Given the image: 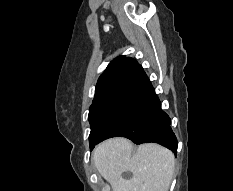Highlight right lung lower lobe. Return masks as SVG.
<instances>
[{
    "mask_svg": "<svg viewBox=\"0 0 233 191\" xmlns=\"http://www.w3.org/2000/svg\"><path fill=\"white\" fill-rule=\"evenodd\" d=\"M126 93V105L90 149L110 137L123 136L136 144L155 142L176 152L177 139L170 118L161 110V102L145 72Z\"/></svg>",
    "mask_w": 233,
    "mask_h": 191,
    "instance_id": "98d812e1",
    "label": "right lung lower lobe"
}]
</instances>
